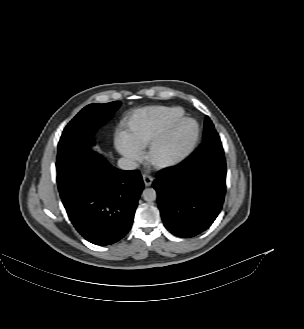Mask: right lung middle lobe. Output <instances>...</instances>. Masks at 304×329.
<instances>
[{
	"label": "right lung middle lobe",
	"mask_w": 304,
	"mask_h": 329,
	"mask_svg": "<svg viewBox=\"0 0 304 329\" xmlns=\"http://www.w3.org/2000/svg\"><path fill=\"white\" fill-rule=\"evenodd\" d=\"M119 101L90 104L84 107L65 127L58 143L57 161L95 144L93 135L120 106Z\"/></svg>",
	"instance_id": "right-lung-middle-lobe-1"
}]
</instances>
